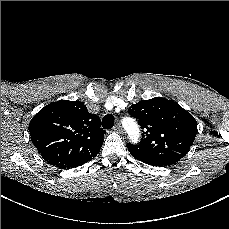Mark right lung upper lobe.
<instances>
[{"label": "right lung upper lobe", "instance_id": "right-lung-upper-lobe-1", "mask_svg": "<svg viewBox=\"0 0 229 229\" xmlns=\"http://www.w3.org/2000/svg\"><path fill=\"white\" fill-rule=\"evenodd\" d=\"M32 143L42 158L61 169L96 157L106 133L97 115L80 101L60 100L41 109L30 121Z\"/></svg>", "mask_w": 229, "mask_h": 229}]
</instances>
